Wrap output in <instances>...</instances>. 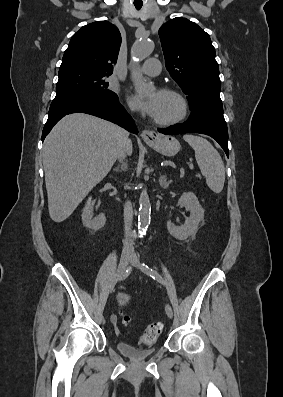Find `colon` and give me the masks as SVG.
<instances>
[{
    "label": "colon",
    "mask_w": 283,
    "mask_h": 397,
    "mask_svg": "<svg viewBox=\"0 0 283 397\" xmlns=\"http://www.w3.org/2000/svg\"><path fill=\"white\" fill-rule=\"evenodd\" d=\"M123 321L125 324H129L130 317L125 314L123 315ZM163 330V324L161 322H153L147 326L144 332L141 334L140 341L143 345H150L154 343Z\"/></svg>",
    "instance_id": "colon-1"
}]
</instances>
